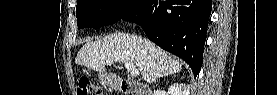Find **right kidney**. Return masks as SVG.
Returning a JSON list of instances; mask_svg holds the SVG:
<instances>
[{
	"mask_svg": "<svg viewBox=\"0 0 277 95\" xmlns=\"http://www.w3.org/2000/svg\"><path fill=\"white\" fill-rule=\"evenodd\" d=\"M169 93L171 95H189V90H182L181 86L178 84H173L169 88Z\"/></svg>",
	"mask_w": 277,
	"mask_h": 95,
	"instance_id": "1",
	"label": "right kidney"
}]
</instances>
